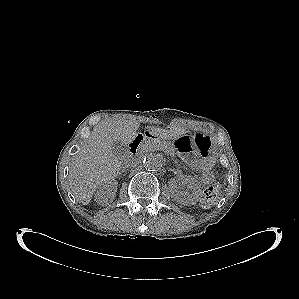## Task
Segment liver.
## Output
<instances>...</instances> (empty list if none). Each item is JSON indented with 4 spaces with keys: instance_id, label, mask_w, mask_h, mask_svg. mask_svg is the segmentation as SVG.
Masks as SVG:
<instances>
[{
    "instance_id": "6515ba94",
    "label": "liver",
    "mask_w": 299,
    "mask_h": 299,
    "mask_svg": "<svg viewBox=\"0 0 299 299\" xmlns=\"http://www.w3.org/2000/svg\"><path fill=\"white\" fill-rule=\"evenodd\" d=\"M140 124L134 120H110L94 127L83 149L74 157L68 179L76 200L88 205L95 191L118 176L122 161L112 150L115 141L130 144L137 136ZM150 135L159 139H176L183 129L168 130L149 127Z\"/></svg>"
}]
</instances>
